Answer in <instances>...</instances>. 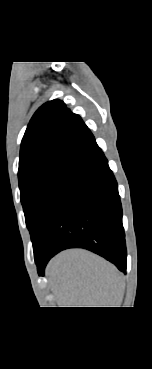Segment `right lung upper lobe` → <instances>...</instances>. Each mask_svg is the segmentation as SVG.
Segmentation results:
<instances>
[{
	"label": "right lung upper lobe",
	"instance_id": "cb5924a9",
	"mask_svg": "<svg viewBox=\"0 0 152 369\" xmlns=\"http://www.w3.org/2000/svg\"><path fill=\"white\" fill-rule=\"evenodd\" d=\"M97 143L81 117L60 100L43 104L31 118L21 143L19 179L59 162L78 163Z\"/></svg>",
	"mask_w": 152,
	"mask_h": 369
}]
</instances>
